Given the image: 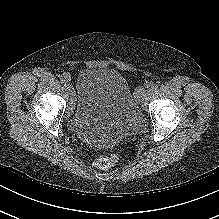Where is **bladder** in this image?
Masks as SVG:
<instances>
[{
    "label": "bladder",
    "mask_w": 219,
    "mask_h": 219,
    "mask_svg": "<svg viewBox=\"0 0 219 219\" xmlns=\"http://www.w3.org/2000/svg\"><path fill=\"white\" fill-rule=\"evenodd\" d=\"M76 104L67 123L78 134L96 133L107 141L144 130L137 100L122 74L106 68H86L78 78Z\"/></svg>",
    "instance_id": "1"
}]
</instances>
